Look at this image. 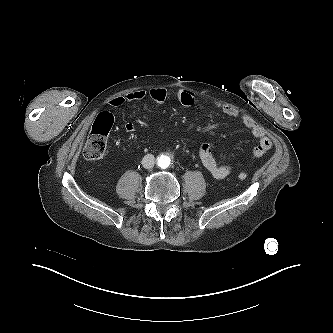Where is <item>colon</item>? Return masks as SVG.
I'll list each match as a JSON object with an SVG mask.
<instances>
[{
  "label": "colon",
  "mask_w": 333,
  "mask_h": 333,
  "mask_svg": "<svg viewBox=\"0 0 333 333\" xmlns=\"http://www.w3.org/2000/svg\"><path fill=\"white\" fill-rule=\"evenodd\" d=\"M113 122V116L109 112H102L97 116L84 146L83 154L87 160L96 161L104 156ZM238 178L244 180L247 178V174L240 173Z\"/></svg>",
  "instance_id": "obj_1"
}]
</instances>
